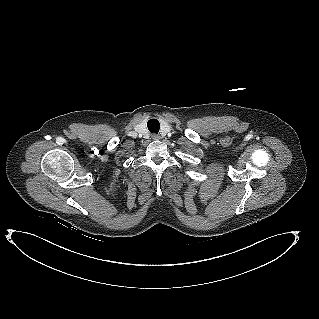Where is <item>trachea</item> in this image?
I'll use <instances>...</instances> for the list:
<instances>
[{"instance_id":"3493384b","label":"trachea","mask_w":319,"mask_h":319,"mask_svg":"<svg viewBox=\"0 0 319 319\" xmlns=\"http://www.w3.org/2000/svg\"><path fill=\"white\" fill-rule=\"evenodd\" d=\"M147 127H148V130L151 132V133H158L159 132V129H160V123L158 120L156 119H150L148 122H147Z\"/></svg>"}]
</instances>
